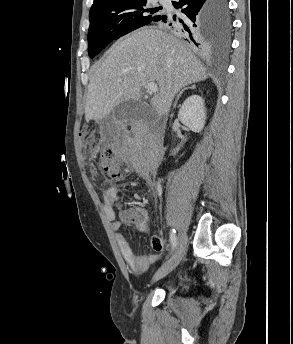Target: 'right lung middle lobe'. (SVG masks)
Listing matches in <instances>:
<instances>
[{"label": "right lung middle lobe", "mask_w": 293, "mask_h": 344, "mask_svg": "<svg viewBox=\"0 0 293 344\" xmlns=\"http://www.w3.org/2000/svg\"><path fill=\"white\" fill-rule=\"evenodd\" d=\"M147 0H119L90 11L88 53L91 58L110 42L127 33L157 21L161 15H152L157 9H146ZM150 13V14H148ZM213 20L223 38L229 29L227 0H216ZM227 38L223 40L227 44Z\"/></svg>", "instance_id": "obj_1"}]
</instances>
